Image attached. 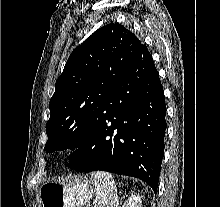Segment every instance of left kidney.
Listing matches in <instances>:
<instances>
[{"mask_svg":"<svg viewBox=\"0 0 220 207\" xmlns=\"http://www.w3.org/2000/svg\"><path fill=\"white\" fill-rule=\"evenodd\" d=\"M122 207H142L141 196L139 194L131 195Z\"/></svg>","mask_w":220,"mask_h":207,"instance_id":"5707ae66","label":"left kidney"}]
</instances>
